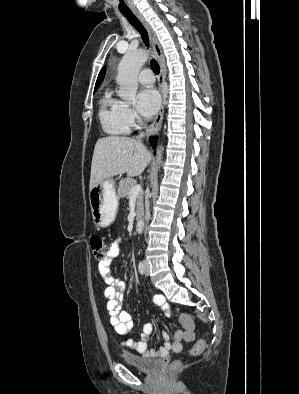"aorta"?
<instances>
[{
    "label": "aorta",
    "mask_w": 299,
    "mask_h": 394,
    "mask_svg": "<svg viewBox=\"0 0 299 394\" xmlns=\"http://www.w3.org/2000/svg\"><path fill=\"white\" fill-rule=\"evenodd\" d=\"M148 59V52L138 50L136 52H127L118 66L116 81L119 84L118 95L126 102L135 101L138 89L137 77L141 67ZM162 160V147L157 150V163Z\"/></svg>",
    "instance_id": "obj_1"
}]
</instances>
